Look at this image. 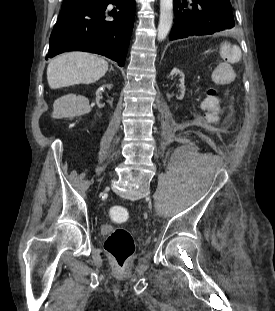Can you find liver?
I'll list each match as a JSON object with an SVG mask.
<instances>
[{"label": "liver", "mask_w": 275, "mask_h": 311, "mask_svg": "<svg viewBox=\"0 0 275 311\" xmlns=\"http://www.w3.org/2000/svg\"><path fill=\"white\" fill-rule=\"evenodd\" d=\"M108 63L103 58L85 52H70L52 59L47 67L51 89L75 84H90L103 77Z\"/></svg>", "instance_id": "liver-1"}]
</instances>
